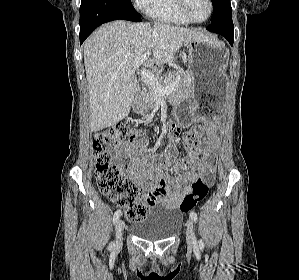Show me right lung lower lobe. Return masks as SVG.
Here are the masks:
<instances>
[{
	"mask_svg": "<svg viewBox=\"0 0 299 280\" xmlns=\"http://www.w3.org/2000/svg\"><path fill=\"white\" fill-rule=\"evenodd\" d=\"M122 19H142L120 0H82L80 6V44L101 24Z\"/></svg>",
	"mask_w": 299,
	"mask_h": 280,
	"instance_id": "98d812e1",
	"label": "right lung lower lobe"
}]
</instances>
